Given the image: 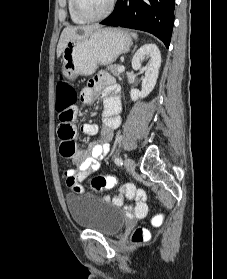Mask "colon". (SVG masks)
I'll use <instances>...</instances> for the list:
<instances>
[{"label":"colon","instance_id":"colon-1","mask_svg":"<svg viewBox=\"0 0 227 279\" xmlns=\"http://www.w3.org/2000/svg\"><path fill=\"white\" fill-rule=\"evenodd\" d=\"M77 101V94L74 86L69 84H59L58 85V99L56 102V110L59 114V119L61 121V126L59 129L61 144H60V154L62 158L70 159L74 155L75 146L72 142L75 128L70 122L74 118V106ZM118 179L113 174L98 175L92 179L91 186L94 191L100 192L105 189L112 188L116 186ZM68 184L72 186V189L76 193H81V188L75 178H70ZM136 195H141L142 192L137 190L134 192ZM120 204V200L115 201ZM148 233L145 229H137L134 233V240L142 241L146 239Z\"/></svg>","mask_w":227,"mask_h":279}]
</instances>
